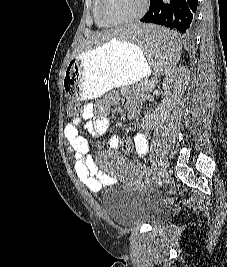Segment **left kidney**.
<instances>
[{
  "label": "left kidney",
  "mask_w": 227,
  "mask_h": 267,
  "mask_svg": "<svg viewBox=\"0 0 227 267\" xmlns=\"http://www.w3.org/2000/svg\"><path fill=\"white\" fill-rule=\"evenodd\" d=\"M190 80V71L187 67H179L171 72V77H165L163 81V90L165 92V100L161 104L162 107L174 108L176 103L182 97ZM160 118L159 112H156L146 119L145 124L149 127L157 125Z\"/></svg>",
  "instance_id": "5707ae66"
}]
</instances>
